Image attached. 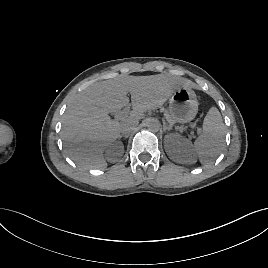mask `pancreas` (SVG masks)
Wrapping results in <instances>:
<instances>
[{"mask_svg": "<svg viewBox=\"0 0 268 268\" xmlns=\"http://www.w3.org/2000/svg\"><path fill=\"white\" fill-rule=\"evenodd\" d=\"M166 119L170 122V123H173V121L170 119V117H169V114L168 113H166Z\"/></svg>", "mask_w": 268, "mask_h": 268, "instance_id": "obj_1", "label": "pancreas"}]
</instances>
